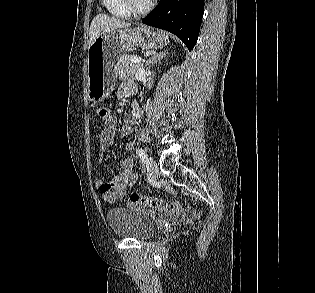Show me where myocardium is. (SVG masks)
Masks as SVG:
<instances>
[{
	"label": "myocardium",
	"mask_w": 315,
	"mask_h": 293,
	"mask_svg": "<svg viewBox=\"0 0 315 293\" xmlns=\"http://www.w3.org/2000/svg\"><path fill=\"white\" fill-rule=\"evenodd\" d=\"M124 7L131 14L141 15L145 14L152 9L154 6V0H150L149 3L143 7H139L136 5L134 0H121Z\"/></svg>",
	"instance_id": "1"
}]
</instances>
